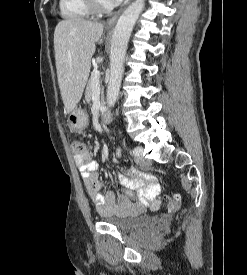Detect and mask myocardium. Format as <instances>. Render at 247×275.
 <instances>
[{"label": "myocardium", "instance_id": "obj_1", "mask_svg": "<svg viewBox=\"0 0 247 275\" xmlns=\"http://www.w3.org/2000/svg\"><path fill=\"white\" fill-rule=\"evenodd\" d=\"M90 10L94 13H106L113 9L114 5L105 6L99 0H85Z\"/></svg>", "mask_w": 247, "mask_h": 275}]
</instances>
